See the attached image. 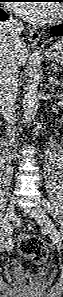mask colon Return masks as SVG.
<instances>
[{
  "instance_id": "5ec220e1",
  "label": "colon",
  "mask_w": 63,
  "mask_h": 297,
  "mask_svg": "<svg viewBox=\"0 0 63 297\" xmlns=\"http://www.w3.org/2000/svg\"><path fill=\"white\" fill-rule=\"evenodd\" d=\"M19 252L35 263H43L47 257L44 242L34 235H22L18 239Z\"/></svg>"
}]
</instances>
